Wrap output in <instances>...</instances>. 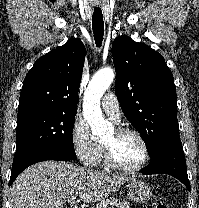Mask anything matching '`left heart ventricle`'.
<instances>
[{"label": "left heart ventricle", "mask_w": 199, "mask_h": 208, "mask_svg": "<svg viewBox=\"0 0 199 208\" xmlns=\"http://www.w3.org/2000/svg\"><path fill=\"white\" fill-rule=\"evenodd\" d=\"M103 144L109 146L116 160L126 167H134L144 158L143 147L133 135H117L113 130Z\"/></svg>", "instance_id": "1"}]
</instances>
